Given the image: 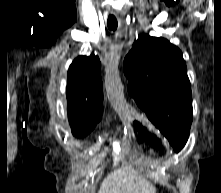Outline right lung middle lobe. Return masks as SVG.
Wrapping results in <instances>:
<instances>
[{
  "label": "right lung middle lobe",
  "instance_id": "right-lung-middle-lobe-1",
  "mask_svg": "<svg viewBox=\"0 0 221 193\" xmlns=\"http://www.w3.org/2000/svg\"><path fill=\"white\" fill-rule=\"evenodd\" d=\"M99 122V120L94 121L90 125H83L82 127H78L75 132L72 131L73 135L79 138L85 137L88 135L95 125Z\"/></svg>",
  "mask_w": 221,
  "mask_h": 193
}]
</instances>
